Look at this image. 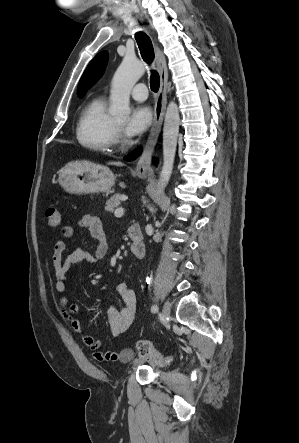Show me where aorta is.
Returning <instances> with one entry per match:
<instances>
[{"mask_svg": "<svg viewBox=\"0 0 299 443\" xmlns=\"http://www.w3.org/2000/svg\"><path fill=\"white\" fill-rule=\"evenodd\" d=\"M145 73V65L135 56L126 55L116 70L112 79L109 113L116 119H126L131 109L129 106L130 93L136 82ZM179 108L174 101L168 104L163 127V166L160 172L157 194L167 186L174 165L179 134Z\"/></svg>", "mask_w": 299, "mask_h": 443, "instance_id": "aorta-1", "label": "aorta"}]
</instances>
